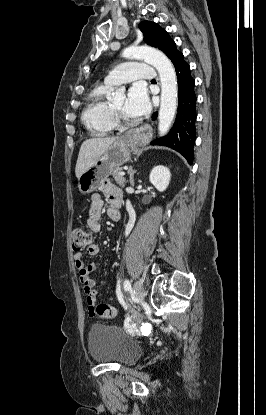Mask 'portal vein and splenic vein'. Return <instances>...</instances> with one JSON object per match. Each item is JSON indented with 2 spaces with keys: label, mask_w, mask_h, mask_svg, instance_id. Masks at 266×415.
Masks as SVG:
<instances>
[{
  "label": "portal vein and splenic vein",
  "mask_w": 266,
  "mask_h": 415,
  "mask_svg": "<svg viewBox=\"0 0 266 415\" xmlns=\"http://www.w3.org/2000/svg\"><path fill=\"white\" fill-rule=\"evenodd\" d=\"M120 175L124 176L125 175V172H121Z\"/></svg>",
  "instance_id": "portal-vein-and-splenic-vein-1"
}]
</instances>
